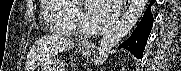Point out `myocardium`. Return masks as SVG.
<instances>
[{
	"label": "myocardium",
	"instance_id": "myocardium-1",
	"mask_svg": "<svg viewBox=\"0 0 181 71\" xmlns=\"http://www.w3.org/2000/svg\"><path fill=\"white\" fill-rule=\"evenodd\" d=\"M87 8H88V6L85 5V9H87ZM87 13H88V10H87ZM86 28H87L88 30H93V27L90 26V25H87Z\"/></svg>",
	"mask_w": 181,
	"mask_h": 71
}]
</instances>
